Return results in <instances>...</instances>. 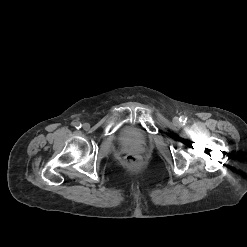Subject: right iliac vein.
I'll return each mask as SVG.
<instances>
[{"label":"right iliac vein","mask_w":247,"mask_h":247,"mask_svg":"<svg viewBox=\"0 0 247 247\" xmlns=\"http://www.w3.org/2000/svg\"><path fill=\"white\" fill-rule=\"evenodd\" d=\"M83 128H84L85 130H88V129L90 128V125H89L88 123H84V124H83Z\"/></svg>","instance_id":"right-iliac-vein-1"}]
</instances>
